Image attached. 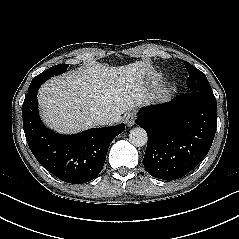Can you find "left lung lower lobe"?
I'll use <instances>...</instances> for the list:
<instances>
[{
  "mask_svg": "<svg viewBox=\"0 0 239 239\" xmlns=\"http://www.w3.org/2000/svg\"><path fill=\"white\" fill-rule=\"evenodd\" d=\"M136 123L148 135L143 159L147 172L158 179H179L210 150L216 132V99L208 91L181 95L142 108Z\"/></svg>",
  "mask_w": 239,
  "mask_h": 239,
  "instance_id": "1",
  "label": "left lung lower lobe"
}]
</instances>
